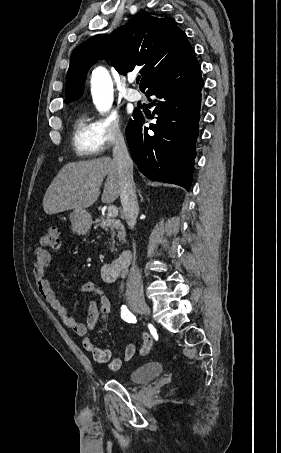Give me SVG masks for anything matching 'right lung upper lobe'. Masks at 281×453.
<instances>
[{"mask_svg": "<svg viewBox=\"0 0 281 453\" xmlns=\"http://www.w3.org/2000/svg\"><path fill=\"white\" fill-rule=\"evenodd\" d=\"M192 51L186 34L172 18L139 13L111 35L94 36L73 51L65 101L82 95L86 72L97 59L109 58L120 74L141 68L140 89L144 90Z\"/></svg>", "mask_w": 281, "mask_h": 453, "instance_id": "right-lung-upper-lobe-1", "label": "right lung upper lobe"}]
</instances>
